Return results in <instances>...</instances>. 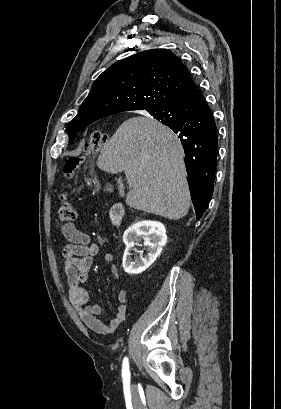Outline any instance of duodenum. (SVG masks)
Returning a JSON list of instances; mask_svg holds the SVG:
<instances>
[{
    "instance_id": "duodenum-1",
    "label": "duodenum",
    "mask_w": 281,
    "mask_h": 409,
    "mask_svg": "<svg viewBox=\"0 0 281 409\" xmlns=\"http://www.w3.org/2000/svg\"><path fill=\"white\" fill-rule=\"evenodd\" d=\"M109 216L114 224H120L124 216L123 205L120 203L114 204L110 209Z\"/></svg>"
}]
</instances>
